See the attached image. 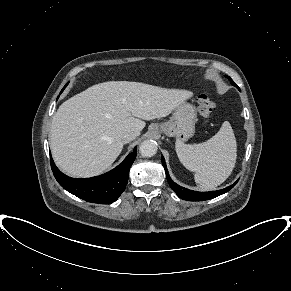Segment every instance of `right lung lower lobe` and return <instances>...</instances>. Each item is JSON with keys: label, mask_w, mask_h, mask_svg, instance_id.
<instances>
[{"label": "right lung lower lobe", "mask_w": 291, "mask_h": 291, "mask_svg": "<svg viewBox=\"0 0 291 291\" xmlns=\"http://www.w3.org/2000/svg\"><path fill=\"white\" fill-rule=\"evenodd\" d=\"M137 154L136 147L115 169L103 175L75 179L66 176L55 166L51 158V168L58 183L71 194L87 202L111 204L124 192L128 182L129 170Z\"/></svg>", "instance_id": "98d812e1"}]
</instances>
